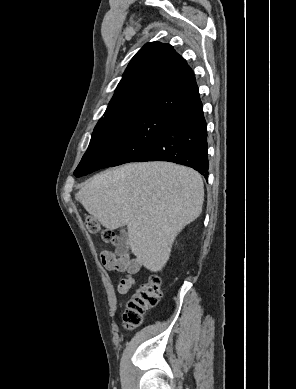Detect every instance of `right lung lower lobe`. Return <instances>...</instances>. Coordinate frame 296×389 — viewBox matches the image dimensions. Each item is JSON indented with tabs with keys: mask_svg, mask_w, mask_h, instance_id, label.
<instances>
[{
	"mask_svg": "<svg viewBox=\"0 0 296 389\" xmlns=\"http://www.w3.org/2000/svg\"><path fill=\"white\" fill-rule=\"evenodd\" d=\"M140 161H169L189 166L208 176L207 124L203 106L177 117L171 126L147 149ZM95 171L77 167L76 177Z\"/></svg>",
	"mask_w": 296,
	"mask_h": 389,
	"instance_id": "obj_1",
	"label": "right lung lower lobe"
}]
</instances>
